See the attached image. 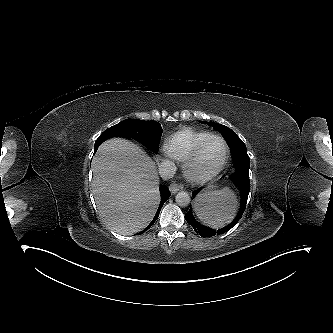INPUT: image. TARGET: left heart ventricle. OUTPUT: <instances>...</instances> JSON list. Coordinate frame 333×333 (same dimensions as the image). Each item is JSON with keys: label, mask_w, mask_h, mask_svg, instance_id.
Returning <instances> with one entry per match:
<instances>
[{"label": "left heart ventricle", "mask_w": 333, "mask_h": 333, "mask_svg": "<svg viewBox=\"0 0 333 333\" xmlns=\"http://www.w3.org/2000/svg\"><path fill=\"white\" fill-rule=\"evenodd\" d=\"M223 155V143L218 139L210 140L195 162L194 170L197 173H209L213 171L220 164Z\"/></svg>", "instance_id": "b2bd125f"}]
</instances>
